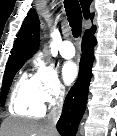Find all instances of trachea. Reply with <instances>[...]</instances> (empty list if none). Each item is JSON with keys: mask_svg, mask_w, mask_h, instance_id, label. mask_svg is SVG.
<instances>
[{"mask_svg": "<svg viewBox=\"0 0 117 136\" xmlns=\"http://www.w3.org/2000/svg\"><path fill=\"white\" fill-rule=\"evenodd\" d=\"M64 7L68 22L72 28L75 38L81 35L82 30V11L78 0H64Z\"/></svg>", "mask_w": 117, "mask_h": 136, "instance_id": "trachea-1", "label": "trachea"}]
</instances>
